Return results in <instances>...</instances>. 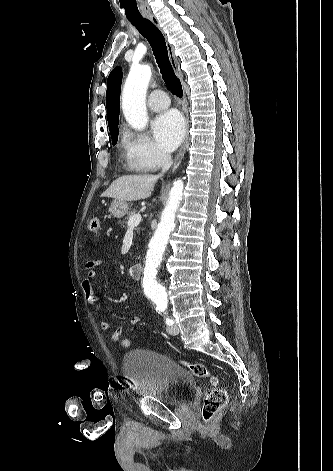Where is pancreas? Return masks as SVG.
Wrapping results in <instances>:
<instances>
[{"mask_svg":"<svg viewBox=\"0 0 333 471\" xmlns=\"http://www.w3.org/2000/svg\"><path fill=\"white\" fill-rule=\"evenodd\" d=\"M135 213H136V211L134 209L128 212L127 217L123 221H121V224H122L123 228L127 227V223H128L129 218L131 216H133Z\"/></svg>","mask_w":333,"mask_h":471,"instance_id":"1","label":"pancreas"}]
</instances>
